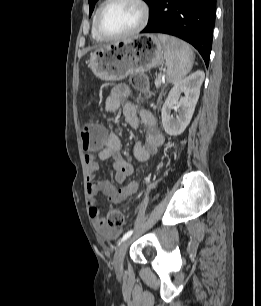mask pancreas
Returning <instances> with one entry per match:
<instances>
[{"mask_svg": "<svg viewBox=\"0 0 261 306\" xmlns=\"http://www.w3.org/2000/svg\"><path fill=\"white\" fill-rule=\"evenodd\" d=\"M161 85V81L159 80L158 81V85L156 87H159Z\"/></svg>", "mask_w": 261, "mask_h": 306, "instance_id": "pancreas-1", "label": "pancreas"}]
</instances>
